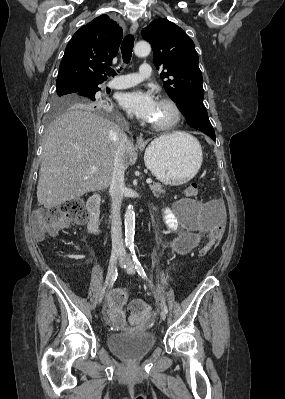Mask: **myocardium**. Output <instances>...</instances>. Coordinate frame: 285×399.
I'll return each instance as SVG.
<instances>
[{"instance_id": "f54148a6", "label": "myocardium", "mask_w": 285, "mask_h": 399, "mask_svg": "<svg viewBox=\"0 0 285 399\" xmlns=\"http://www.w3.org/2000/svg\"><path fill=\"white\" fill-rule=\"evenodd\" d=\"M159 103L168 105L173 111V118L171 121L163 124L151 123V127L155 130L165 131L175 127L182 116L181 108L178 103L170 97L164 96L159 99Z\"/></svg>"}]
</instances>
